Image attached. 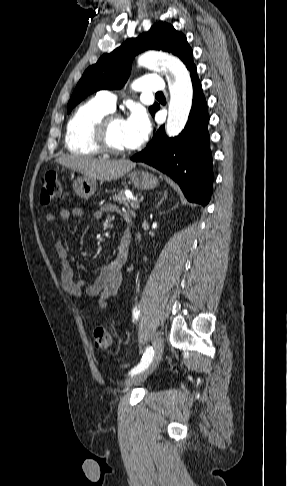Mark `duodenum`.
I'll return each instance as SVG.
<instances>
[{"instance_id": "1", "label": "duodenum", "mask_w": 287, "mask_h": 486, "mask_svg": "<svg viewBox=\"0 0 287 486\" xmlns=\"http://www.w3.org/2000/svg\"><path fill=\"white\" fill-rule=\"evenodd\" d=\"M127 222H128V224H129V226H131V225H132V223H133L131 218H128V219H127Z\"/></svg>"}]
</instances>
